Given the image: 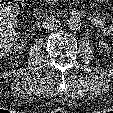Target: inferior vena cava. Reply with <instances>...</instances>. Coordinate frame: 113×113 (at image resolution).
I'll return each instance as SVG.
<instances>
[{"instance_id": "inferior-vena-cava-1", "label": "inferior vena cava", "mask_w": 113, "mask_h": 113, "mask_svg": "<svg viewBox=\"0 0 113 113\" xmlns=\"http://www.w3.org/2000/svg\"><path fill=\"white\" fill-rule=\"evenodd\" d=\"M43 27L47 31L56 30L57 28L60 27V21L54 17H49L43 23Z\"/></svg>"}]
</instances>
